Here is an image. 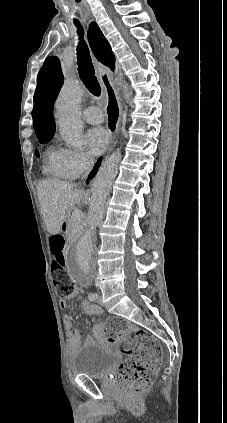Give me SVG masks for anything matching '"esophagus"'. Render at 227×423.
Returning <instances> with one entry per match:
<instances>
[{
  "instance_id": "34e87169",
  "label": "esophagus",
  "mask_w": 227,
  "mask_h": 423,
  "mask_svg": "<svg viewBox=\"0 0 227 423\" xmlns=\"http://www.w3.org/2000/svg\"><path fill=\"white\" fill-rule=\"evenodd\" d=\"M96 68L106 95L105 111L108 125H110L111 131H116L121 115V105L120 98L112 84V72L101 63H97Z\"/></svg>"
}]
</instances>
